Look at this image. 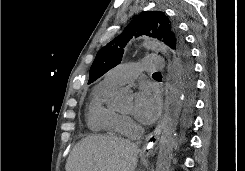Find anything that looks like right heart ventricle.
Listing matches in <instances>:
<instances>
[{
  "instance_id": "right-heart-ventricle-1",
  "label": "right heart ventricle",
  "mask_w": 245,
  "mask_h": 171,
  "mask_svg": "<svg viewBox=\"0 0 245 171\" xmlns=\"http://www.w3.org/2000/svg\"><path fill=\"white\" fill-rule=\"evenodd\" d=\"M115 88V86L107 84L104 80L94 87L87 111V121L92 131L110 134L119 133L120 115L106 105L107 97Z\"/></svg>"
}]
</instances>
